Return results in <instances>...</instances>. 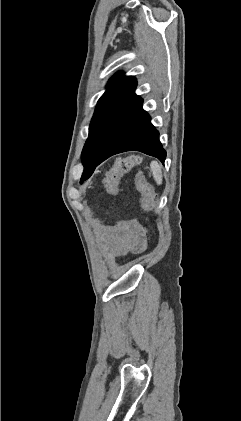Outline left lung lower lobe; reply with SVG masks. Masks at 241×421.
<instances>
[{"label":"left lung lower lobe","mask_w":241,"mask_h":421,"mask_svg":"<svg viewBox=\"0 0 241 421\" xmlns=\"http://www.w3.org/2000/svg\"><path fill=\"white\" fill-rule=\"evenodd\" d=\"M142 103V99L133 94L98 159L84 167L81 183L92 175L100 163L121 152L140 151L157 157L164 164L166 151L159 141V132L152 125L148 113L143 110Z\"/></svg>","instance_id":"1"}]
</instances>
